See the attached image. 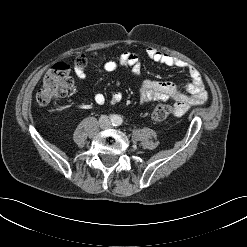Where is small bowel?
<instances>
[{
    "label": "small bowel",
    "mask_w": 247,
    "mask_h": 247,
    "mask_svg": "<svg viewBox=\"0 0 247 247\" xmlns=\"http://www.w3.org/2000/svg\"><path fill=\"white\" fill-rule=\"evenodd\" d=\"M146 56L154 62L186 71L191 78V82L184 87H180L172 82L141 79L139 95L142 102L173 99L176 102L175 114L181 116L185 114L191 106L203 104L207 100L208 93L205 89L202 75L196 68L175 56L154 48H149L146 51ZM103 67L106 71H114L119 68H131L132 74L135 77H141L140 58L137 54L132 52H125L117 60L105 62ZM75 72L80 79L86 78L82 68L76 67ZM110 97L113 102H119L122 100L123 95L119 91H112ZM94 101L102 105L106 101V97L102 93H97L94 95Z\"/></svg>",
    "instance_id": "obj_1"
}]
</instances>
